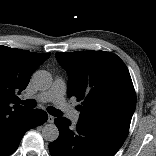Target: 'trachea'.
Segmentation results:
<instances>
[{"mask_svg": "<svg viewBox=\"0 0 156 156\" xmlns=\"http://www.w3.org/2000/svg\"><path fill=\"white\" fill-rule=\"evenodd\" d=\"M17 103L23 104L24 106L28 107V108H35L36 107V101L32 100V99H28V100H17ZM47 111L49 114L53 115V116H60L62 115L61 111H59L58 109L54 108V107H47Z\"/></svg>", "mask_w": 156, "mask_h": 156, "instance_id": "3493384b", "label": "trachea"}]
</instances>
